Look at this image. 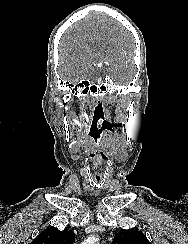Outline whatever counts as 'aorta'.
<instances>
[{"label":"aorta","mask_w":188,"mask_h":244,"mask_svg":"<svg viewBox=\"0 0 188 244\" xmlns=\"http://www.w3.org/2000/svg\"><path fill=\"white\" fill-rule=\"evenodd\" d=\"M97 236H89L86 240L82 242V244H98Z\"/></svg>","instance_id":"1"}]
</instances>
